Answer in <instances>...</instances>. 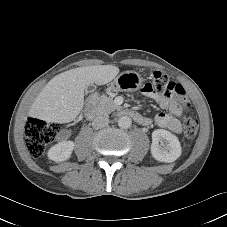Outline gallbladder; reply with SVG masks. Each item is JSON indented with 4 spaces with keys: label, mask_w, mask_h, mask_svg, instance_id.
Here are the masks:
<instances>
[{
    "label": "gallbladder",
    "mask_w": 227,
    "mask_h": 227,
    "mask_svg": "<svg viewBox=\"0 0 227 227\" xmlns=\"http://www.w3.org/2000/svg\"><path fill=\"white\" fill-rule=\"evenodd\" d=\"M96 90V86L94 84H90L86 87L85 91L86 93H92Z\"/></svg>",
    "instance_id": "gallbladder-1"
}]
</instances>
